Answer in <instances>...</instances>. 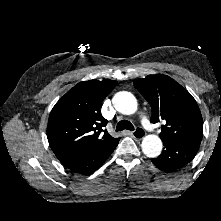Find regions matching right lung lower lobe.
Returning a JSON list of instances; mask_svg holds the SVG:
<instances>
[{"instance_id": "right-lung-lower-lobe-1", "label": "right lung lower lobe", "mask_w": 221, "mask_h": 221, "mask_svg": "<svg viewBox=\"0 0 221 221\" xmlns=\"http://www.w3.org/2000/svg\"><path fill=\"white\" fill-rule=\"evenodd\" d=\"M118 142L104 150L98 152H88L81 154L65 161L62 163L70 170L82 173L90 174L98 169L110 156V154L116 148Z\"/></svg>"}]
</instances>
